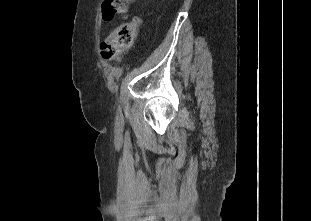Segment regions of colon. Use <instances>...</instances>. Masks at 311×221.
<instances>
[{
  "label": "colon",
  "instance_id": "colon-1",
  "mask_svg": "<svg viewBox=\"0 0 311 221\" xmlns=\"http://www.w3.org/2000/svg\"><path fill=\"white\" fill-rule=\"evenodd\" d=\"M107 4L103 15L99 17L101 22H114L115 17H125V6L132 0H106ZM141 18L134 17L130 21L121 23L115 30L110 32L101 44V53L107 59H119L123 51L129 49L138 34Z\"/></svg>",
  "mask_w": 311,
  "mask_h": 221
}]
</instances>
